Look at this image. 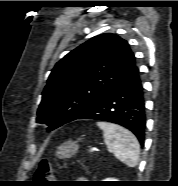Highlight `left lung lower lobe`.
Returning a JSON list of instances; mask_svg holds the SVG:
<instances>
[{"instance_id":"0a47b994","label":"left lung lower lobe","mask_w":178,"mask_h":186,"mask_svg":"<svg viewBox=\"0 0 178 186\" xmlns=\"http://www.w3.org/2000/svg\"><path fill=\"white\" fill-rule=\"evenodd\" d=\"M76 119H94L121 125L132 131L143 145L146 116L139 70L117 84L103 99L73 120Z\"/></svg>"}]
</instances>
